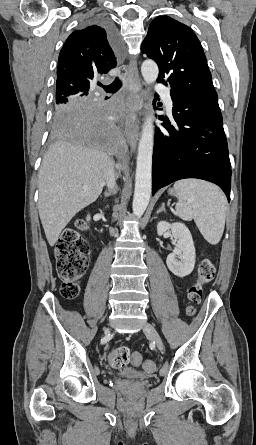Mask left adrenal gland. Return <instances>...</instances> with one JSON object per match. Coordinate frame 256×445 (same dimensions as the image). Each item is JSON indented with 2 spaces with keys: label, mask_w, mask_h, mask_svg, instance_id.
I'll list each match as a JSON object with an SVG mask.
<instances>
[{
  "label": "left adrenal gland",
  "mask_w": 256,
  "mask_h": 445,
  "mask_svg": "<svg viewBox=\"0 0 256 445\" xmlns=\"http://www.w3.org/2000/svg\"><path fill=\"white\" fill-rule=\"evenodd\" d=\"M164 211L165 212V204L162 203L161 207L159 208V210H157V214Z\"/></svg>",
  "instance_id": "left-adrenal-gland-1"
}]
</instances>
